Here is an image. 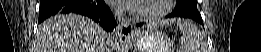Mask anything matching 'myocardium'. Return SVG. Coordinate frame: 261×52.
Masks as SVG:
<instances>
[{"label": "myocardium", "mask_w": 261, "mask_h": 52, "mask_svg": "<svg viewBox=\"0 0 261 52\" xmlns=\"http://www.w3.org/2000/svg\"><path fill=\"white\" fill-rule=\"evenodd\" d=\"M173 2V0H163L161 7L154 11H143L139 5H136L134 8L130 9V11L138 18L145 21L159 20L170 12Z\"/></svg>", "instance_id": "myocardium-1"}]
</instances>
